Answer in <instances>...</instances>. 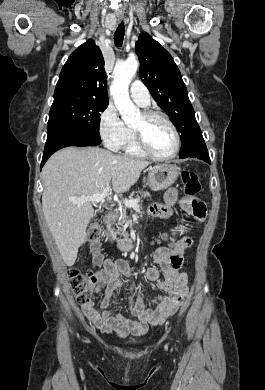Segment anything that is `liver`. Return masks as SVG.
<instances>
[{
	"label": "liver",
	"instance_id": "1",
	"mask_svg": "<svg viewBox=\"0 0 265 390\" xmlns=\"http://www.w3.org/2000/svg\"><path fill=\"white\" fill-rule=\"evenodd\" d=\"M149 164L99 147H67L50 157L42 170V209L67 266L74 265L94 216L91 202L78 205L69 198L100 194L111 181L114 192L124 193Z\"/></svg>",
	"mask_w": 265,
	"mask_h": 390
}]
</instances>
